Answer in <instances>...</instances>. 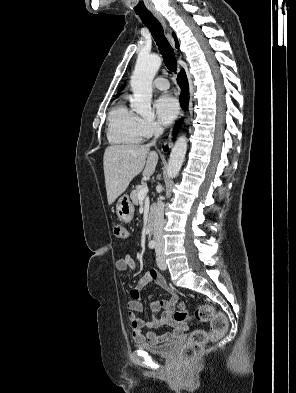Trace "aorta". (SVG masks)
Returning a JSON list of instances; mask_svg holds the SVG:
<instances>
[{
    "instance_id": "aorta-1",
    "label": "aorta",
    "mask_w": 296,
    "mask_h": 393,
    "mask_svg": "<svg viewBox=\"0 0 296 393\" xmlns=\"http://www.w3.org/2000/svg\"><path fill=\"white\" fill-rule=\"evenodd\" d=\"M161 66V58L156 54L140 53L133 74L131 89L133 92L132 107L143 117L151 116L152 81ZM187 151V138L183 135L175 142L168 162L167 174L175 178L184 162Z\"/></svg>"
}]
</instances>
